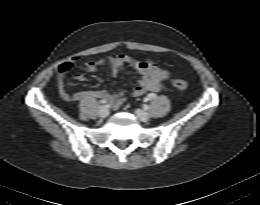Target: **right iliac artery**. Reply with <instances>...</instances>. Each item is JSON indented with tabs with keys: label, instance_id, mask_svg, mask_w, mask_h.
Here are the masks:
<instances>
[{
	"label": "right iliac artery",
	"instance_id": "82829eb1",
	"mask_svg": "<svg viewBox=\"0 0 260 205\" xmlns=\"http://www.w3.org/2000/svg\"><path fill=\"white\" fill-rule=\"evenodd\" d=\"M99 103H100V104H106L107 101H106V99H102V100L99 101Z\"/></svg>",
	"mask_w": 260,
	"mask_h": 205
}]
</instances>
